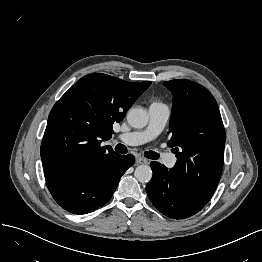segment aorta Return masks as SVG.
I'll return each instance as SVG.
<instances>
[{
	"label": "aorta",
	"mask_w": 262,
	"mask_h": 262,
	"mask_svg": "<svg viewBox=\"0 0 262 262\" xmlns=\"http://www.w3.org/2000/svg\"><path fill=\"white\" fill-rule=\"evenodd\" d=\"M149 120L146 110L142 108H132L127 113V122L133 128H143ZM136 179L141 183H147L152 178V170L148 165H139L134 173Z\"/></svg>",
	"instance_id": "aorta-1"
}]
</instances>
